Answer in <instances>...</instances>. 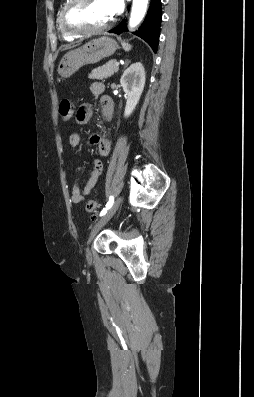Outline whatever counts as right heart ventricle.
Instances as JSON below:
<instances>
[{
  "label": "right heart ventricle",
  "mask_w": 254,
  "mask_h": 397,
  "mask_svg": "<svg viewBox=\"0 0 254 397\" xmlns=\"http://www.w3.org/2000/svg\"><path fill=\"white\" fill-rule=\"evenodd\" d=\"M67 2H68V0L65 2L64 6L66 5ZM61 11H62V10H61ZM61 11H60L59 16H58V29H59V31H60V33H61V36H62V38H63L64 40H66V41H73V40H75L78 36H72V35H69V34H67L66 32L63 31V29H62L61 26H60V14H61Z\"/></svg>",
  "instance_id": "right-heart-ventricle-1"
}]
</instances>
